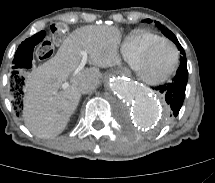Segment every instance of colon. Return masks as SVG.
Masks as SVG:
<instances>
[{"label":"colon","mask_w":215,"mask_h":183,"mask_svg":"<svg viewBox=\"0 0 215 183\" xmlns=\"http://www.w3.org/2000/svg\"><path fill=\"white\" fill-rule=\"evenodd\" d=\"M68 27L65 23L58 22L43 29L32 37H26L15 48L16 57L9 62L10 85L13 96L11 113L17 121L25 118L22 111V94L25 78L23 73L32 68L35 61H46L54 53V43L66 39Z\"/></svg>","instance_id":"colon-1"}]
</instances>
